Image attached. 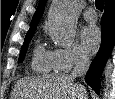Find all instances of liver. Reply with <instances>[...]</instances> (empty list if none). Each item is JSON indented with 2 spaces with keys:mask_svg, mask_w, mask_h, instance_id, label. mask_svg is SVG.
I'll return each mask as SVG.
<instances>
[{
  "mask_svg": "<svg viewBox=\"0 0 115 99\" xmlns=\"http://www.w3.org/2000/svg\"><path fill=\"white\" fill-rule=\"evenodd\" d=\"M12 99H87V91L71 75L53 74L17 81Z\"/></svg>",
  "mask_w": 115,
  "mask_h": 99,
  "instance_id": "1",
  "label": "liver"
}]
</instances>
